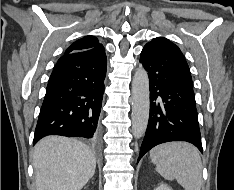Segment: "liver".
<instances>
[{
	"instance_id": "obj_1",
	"label": "liver",
	"mask_w": 234,
	"mask_h": 190,
	"mask_svg": "<svg viewBox=\"0 0 234 190\" xmlns=\"http://www.w3.org/2000/svg\"><path fill=\"white\" fill-rule=\"evenodd\" d=\"M33 166L37 190H81L95 173L96 158L77 140L48 136L35 145Z\"/></svg>"
}]
</instances>
